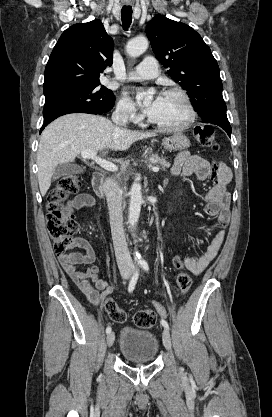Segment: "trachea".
Masks as SVG:
<instances>
[{
	"mask_svg": "<svg viewBox=\"0 0 272 417\" xmlns=\"http://www.w3.org/2000/svg\"><path fill=\"white\" fill-rule=\"evenodd\" d=\"M122 24L125 30H128L132 22V7L123 6L121 10Z\"/></svg>",
	"mask_w": 272,
	"mask_h": 417,
	"instance_id": "obj_1",
	"label": "trachea"
}]
</instances>
